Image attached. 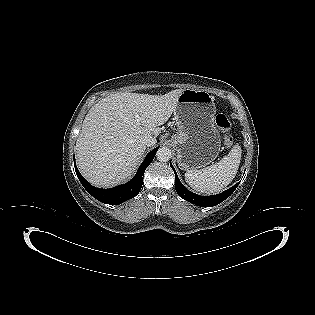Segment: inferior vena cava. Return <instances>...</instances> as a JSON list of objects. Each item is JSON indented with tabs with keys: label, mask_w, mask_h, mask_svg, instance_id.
<instances>
[{
	"label": "inferior vena cava",
	"mask_w": 315,
	"mask_h": 315,
	"mask_svg": "<svg viewBox=\"0 0 315 315\" xmlns=\"http://www.w3.org/2000/svg\"><path fill=\"white\" fill-rule=\"evenodd\" d=\"M142 143L146 146H152L155 143V139L151 136H145L142 138Z\"/></svg>",
	"instance_id": "602c4592"
}]
</instances>
